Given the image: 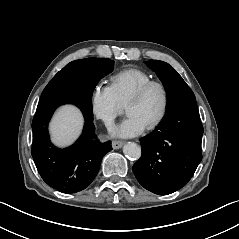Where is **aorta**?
<instances>
[{
    "label": "aorta",
    "instance_id": "obj_1",
    "mask_svg": "<svg viewBox=\"0 0 239 239\" xmlns=\"http://www.w3.org/2000/svg\"><path fill=\"white\" fill-rule=\"evenodd\" d=\"M123 153L126 155L127 158L137 160L141 156V147L136 143L129 142L124 145Z\"/></svg>",
    "mask_w": 239,
    "mask_h": 239
}]
</instances>
